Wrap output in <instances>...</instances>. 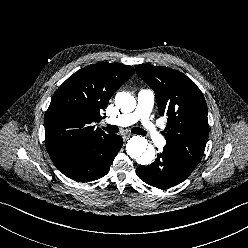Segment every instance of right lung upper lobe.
<instances>
[{
	"instance_id": "1",
	"label": "right lung upper lobe",
	"mask_w": 248,
	"mask_h": 248,
	"mask_svg": "<svg viewBox=\"0 0 248 248\" xmlns=\"http://www.w3.org/2000/svg\"><path fill=\"white\" fill-rule=\"evenodd\" d=\"M133 73L126 65L92 64L56 90L45 114L46 148L52 161L107 135L91 123L100 118V110H105L114 92Z\"/></svg>"
}]
</instances>
